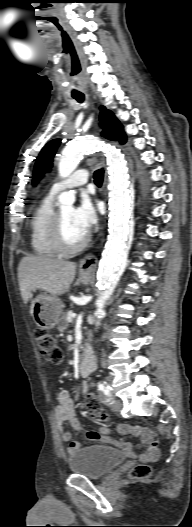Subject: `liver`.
Segmentation results:
<instances>
[{"mask_svg":"<svg viewBox=\"0 0 192 527\" xmlns=\"http://www.w3.org/2000/svg\"><path fill=\"white\" fill-rule=\"evenodd\" d=\"M75 273L76 264L70 261L34 255L23 257L18 266V280L24 303L36 289L53 296L69 292Z\"/></svg>","mask_w":192,"mask_h":527,"instance_id":"1","label":"liver"}]
</instances>
